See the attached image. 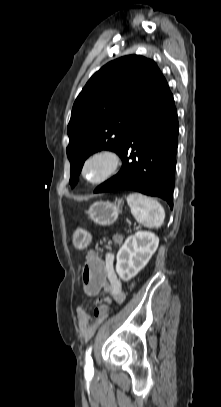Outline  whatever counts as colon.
I'll list each match as a JSON object with an SVG mask.
<instances>
[{
  "label": "colon",
  "instance_id": "5ec220e1",
  "mask_svg": "<svg viewBox=\"0 0 221 407\" xmlns=\"http://www.w3.org/2000/svg\"><path fill=\"white\" fill-rule=\"evenodd\" d=\"M107 266L105 259L101 258L100 252H89L82 271L83 292H104V286L108 284ZM130 290L135 288L133 283L128 285ZM92 297V294H89ZM110 307L106 304L95 307L98 318H106Z\"/></svg>",
  "mask_w": 221,
  "mask_h": 407
}]
</instances>
